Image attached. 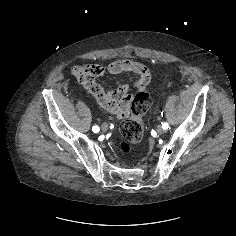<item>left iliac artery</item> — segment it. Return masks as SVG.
<instances>
[{
    "label": "left iliac artery",
    "mask_w": 236,
    "mask_h": 236,
    "mask_svg": "<svg viewBox=\"0 0 236 236\" xmlns=\"http://www.w3.org/2000/svg\"><path fill=\"white\" fill-rule=\"evenodd\" d=\"M162 128H163L164 130H167V129L169 128L168 123H167V122L162 123Z\"/></svg>",
    "instance_id": "obj_1"
}]
</instances>
